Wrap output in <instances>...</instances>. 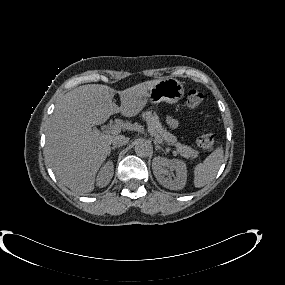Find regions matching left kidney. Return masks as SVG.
Here are the masks:
<instances>
[{"instance_id": "1", "label": "left kidney", "mask_w": 285, "mask_h": 285, "mask_svg": "<svg viewBox=\"0 0 285 285\" xmlns=\"http://www.w3.org/2000/svg\"><path fill=\"white\" fill-rule=\"evenodd\" d=\"M152 170L157 181L168 189L181 190L186 184L187 168L182 160L156 157L152 162ZM170 171H175L173 180L169 176Z\"/></svg>"}]
</instances>
